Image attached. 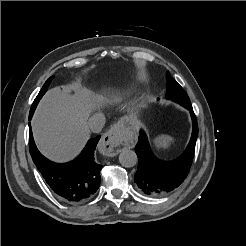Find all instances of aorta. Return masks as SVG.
<instances>
[{
  "label": "aorta",
  "instance_id": "aorta-1",
  "mask_svg": "<svg viewBox=\"0 0 246 246\" xmlns=\"http://www.w3.org/2000/svg\"><path fill=\"white\" fill-rule=\"evenodd\" d=\"M138 161L137 155L133 150L125 149L119 155V162L124 167H133Z\"/></svg>",
  "mask_w": 246,
  "mask_h": 246
}]
</instances>
